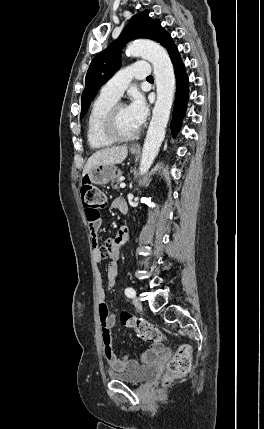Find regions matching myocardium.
Listing matches in <instances>:
<instances>
[{
  "mask_svg": "<svg viewBox=\"0 0 264 429\" xmlns=\"http://www.w3.org/2000/svg\"><path fill=\"white\" fill-rule=\"evenodd\" d=\"M125 106L121 102H116L108 110L102 125L103 133L106 137L113 140L114 142H127L136 139L140 133L141 128L139 127L136 132L131 135L122 134L117 125V113L118 110Z\"/></svg>",
  "mask_w": 264,
  "mask_h": 429,
  "instance_id": "myocardium-1",
  "label": "myocardium"
}]
</instances>
